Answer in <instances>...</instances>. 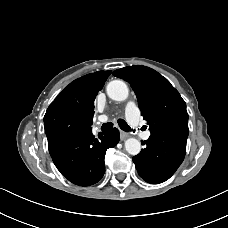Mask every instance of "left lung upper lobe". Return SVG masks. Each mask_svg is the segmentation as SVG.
Returning a JSON list of instances; mask_svg holds the SVG:
<instances>
[{
    "mask_svg": "<svg viewBox=\"0 0 228 228\" xmlns=\"http://www.w3.org/2000/svg\"><path fill=\"white\" fill-rule=\"evenodd\" d=\"M113 75L131 85L151 134H171L187 140L186 103L165 77L152 68L139 65L115 70Z\"/></svg>",
    "mask_w": 228,
    "mask_h": 228,
    "instance_id": "5c2ea615",
    "label": "left lung upper lobe"
}]
</instances>
